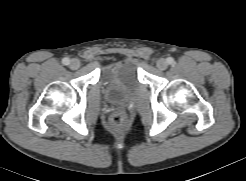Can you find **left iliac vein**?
I'll return each mask as SVG.
<instances>
[{"mask_svg": "<svg viewBox=\"0 0 246 181\" xmlns=\"http://www.w3.org/2000/svg\"><path fill=\"white\" fill-rule=\"evenodd\" d=\"M156 66L159 70H165L168 67V62L167 60L161 58L157 61Z\"/></svg>", "mask_w": 246, "mask_h": 181, "instance_id": "4c4485c4", "label": "left iliac vein"}]
</instances>
